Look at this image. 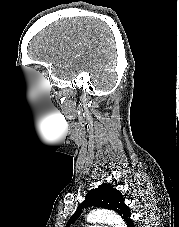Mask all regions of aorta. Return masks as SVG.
Segmentation results:
<instances>
[{
  "label": "aorta",
  "mask_w": 179,
  "mask_h": 227,
  "mask_svg": "<svg viewBox=\"0 0 179 227\" xmlns=\"http://www.w3.org/2000/svg\"><path fill=\"white\" fill-rule=\"evenodd\" d=\"M87 221L90 223L105 222L112 224L113 227H126L119 215L108 210H93L87 215Z\"/></svg>",
  "instance_id": "obj_1"
}]
</instances>
